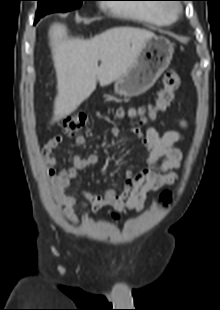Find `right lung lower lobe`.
Masks as SVG:
<instances>
[{"instance_id": "right-lung-lower-lobe-1", "label": "right lung lower lobe", "mask_w": 220, "mask_h": 310, "mask_svg": "<svg viewBox=\"0 0 220 310\" xmlns=\"http://www.w3.org/2000/svg\"><path fill=\"white\" fill-rule=\"evenodd\" d=\"M40 19V17H36L35 18V23Z\"/></svg>"}]
</instances>
